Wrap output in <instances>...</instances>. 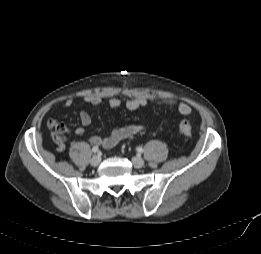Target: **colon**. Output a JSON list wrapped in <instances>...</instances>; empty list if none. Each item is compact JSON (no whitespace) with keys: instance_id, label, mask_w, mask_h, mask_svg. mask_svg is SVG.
Masks as SVG:
<instances>
[{"instance_id":"1","label":"colon","mask_w":261,"mask_h":254,"mask_svg":"<svg viewBox=\"0 0 261 254\" xmlns=\"http://www.w3.org/2000/svg\"><path fill=\"white\" fill-rule=\"evenodd\" d=\"M179 132L185 139H190L192 137V127L190 123L186 120L181 121L179 124Z\"/></svg>"}]
</instances>
